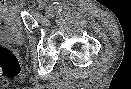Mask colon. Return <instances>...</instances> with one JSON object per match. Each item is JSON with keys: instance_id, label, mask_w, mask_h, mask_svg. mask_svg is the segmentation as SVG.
Segmentation results:
<instances>
[{"instance_id": "5ec220e1", "label": "colon", "mask_w": 131, "mask_h": 89, "mask_svg": "<svg viewBox=\"0 0 131 89\" xmlns=\"http://www.w3.org/2000/svg\"><path fill=\"white\" fill-rule=\"evenodd\" d=\"M21 67L16 55L5 47H0V78H14Z\"/></svg>"}]
</instances>
